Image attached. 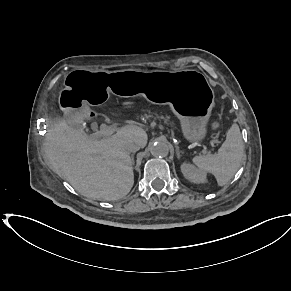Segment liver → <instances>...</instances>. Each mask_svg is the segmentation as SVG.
<instances>
[{
    "mask_svg": "<svg viewBox=\"0 0 291 291\" xmlns=\"http://www.w3.org/2000/svg\"><path fill=\"white\" fill-rule=\"evenodd\" d=\"M74 118L80 123L85 115ZM147 140V133L137 125H125L110 137L95 139L82 126L72 127L59 119L49 125L45 153L80 194L111 201L126 196L134 184L132 160L125 145L133 142L144 148Z\"/></svg>",
    "mask_w": 291,
    "mask_h": 291,
    "instance_id": "1",
    "label": "liver"
}]
</instances>
